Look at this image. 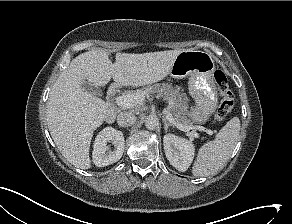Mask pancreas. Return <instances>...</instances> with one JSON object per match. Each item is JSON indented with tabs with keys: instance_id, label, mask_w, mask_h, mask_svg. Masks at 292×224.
Masks as SVG:
<instances>
[{
	"instance_id": "pancreas-1",
	"label": "pancreas",
	"mask_w": 292,
	"mask_h": 224,
	"mask_svg": "<svg viewBox=\"0 0 292 224\" xmlns=\"http://www.w3.org/2000/svg\"><path fill=\"white\" fill-rule=\"evenodd\" d=\"M148 94H156L168 102V111L174 116V120L184 126L191 127L193 122L187 118L188 98L182 93L179 87L174 88L170 84H154L147 86L143 90H138Z\"/></svg>"
}]
</instances>
